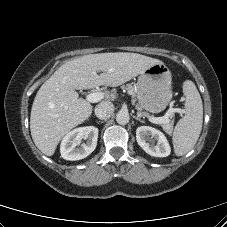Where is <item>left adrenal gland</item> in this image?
I'll return each instance as SVG.
<instances>
[{
	"label": "left adrenal gland",
	"instance_id": "1",
	"mask_svg": "<svg viewBox=\"0 0 227 227\" xmlns=\"http://www.w3.org/2000/svg\"><path fill=\"white\" fill-rule=\"evenodd\" d=\"M133 118H135L136 120H138V121L144 123V121H143L141 118H139L138 116H133Z\"/></svg>",
	"mask_w": 227,
	"mask_h": 227
}]
</instances>
